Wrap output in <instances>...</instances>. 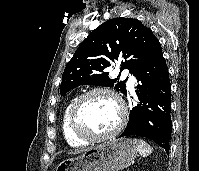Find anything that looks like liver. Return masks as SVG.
Wrapping results in <instances>:
<instances>
[{
  "instance_id": "6515ba94",
  "label": "liver",
  "mask_w": 199,
  "mask_h": 171,
  "mask_svg": "<svg viewBox=\"0 0 199 171\" xmlns=\"http://www.w3.org/2000/svg\"><path fill=\"white\" fill-rule=\"evenodd\" d=\"M81 151H76V152H71V154H77L80 153Z\"/></svg>"
}]
</instances>
